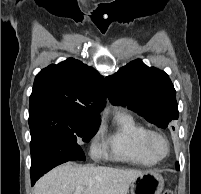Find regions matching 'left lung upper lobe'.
<instances>
[{
	"label": "left lung upper lobe",
	"mask_w": 201,
	"mask_h": 194,
	"mask_svg": "<svg viewBox=\"0 0 201 194\" xmlns=\"http://www.w3.org/2000/svg\"><path fill=\"white\" fill-rule=\"evenodd\" d=\"M106 88L113 105H126L158 127L165 129L178 119L176 91L168 75L140 59L108 76Z\"/></svg>",
	"instance_id": "left-lung-upper-lobe-1"
}]
</instances>
